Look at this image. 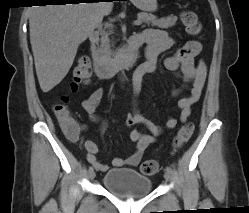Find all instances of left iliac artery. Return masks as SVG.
Wrapping results in <instances>:
<instances>
[{
    "mask_svg": "<svg viewBox=\"0 0 249 213\" xmlns=\"http://www.w3.org/2000/svg\"><path fill=\"white\" fill-rule=\"evenodd\" d=\"M166 171L169 172L170 174L173 173V169L169 166L166 167Z\"/></svg>",
    "mask_w": 249,
    "mask_h": 213,
    "instance_id": "obj_1",
    "label": "left iliac artery"
}]
</instances>
